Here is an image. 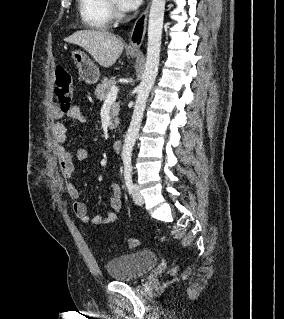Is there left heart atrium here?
Segmentation results:
<instances>
[{"mask_svg": "<svg viewBox=\"0 0 284 319\" xmlns=\"http://www.w3.org/2000/svg\"><path fill=\"white\" fill-rule=\"evenodd\" d=\"M142 3V0H117L120 9L124 11H132L137 9Z\"/></svg>", "mask_w": 284, "mask_h": 319, "instance_id": "obj_1", "label": "left heart atrium"}]
</instances>
